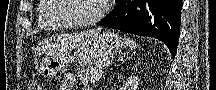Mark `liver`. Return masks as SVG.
Instances as JSON below:
<instances>
[{"instance_id": "liver-1", "label": "liver", "mask_w": 216, "mask_h": 90, "mask_svg": "<svg viewBox=\"0 0 216 90\" xmlns=\"http://www.w3.org/2000/svg\"><path fill=\"white\" fill-rule=\"evenodd\" d=\"M102 28H98V30H91V32H83V34H78V36H73V38H69V42L73 44V46H78V44H84L87 42L88 38H92L93 34H100Z\"/></svg>"}]
</instances>
